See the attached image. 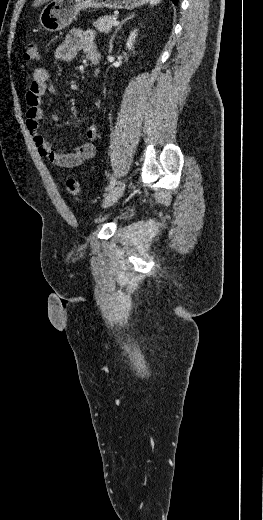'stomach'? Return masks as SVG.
<instances>
[{
    "mask_svg": "<svg viewBox=\"0 0 263 520\" xmlns=\"http://www.w3.org/2000/svg\"><path fill=\"white\" fill-rule=\"evenodd\" d=\"M148 0H52L41 11L39 21L49 32L69 26L80 11L93 8L133 9Z\"/></svg>",
    "mask_w": 263,
    "mask_h": 520,
    "instance_id": "obj_1",
    "label": "stomach"
}]
</instances>
